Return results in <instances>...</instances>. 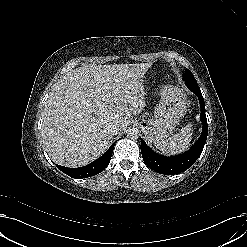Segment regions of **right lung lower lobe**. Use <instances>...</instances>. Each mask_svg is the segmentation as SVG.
<instances>
[{
	"label": "right lung lower lobe",
	"mask_w": 247,
	"mask_h": 247,
	"mask_svg": "<svg viewBox=\"0 0 247 247\" xmlns=\"http://www.w3.org/2000/svg\"><path fill=\"white\" fill-rule=\"evenodd\" d=\"M114 146L115 143L110 146L104 155L87 166L80 168H68L57 165V167L72 178H87L93 176L102 172L109 165Z\"/></svg>",
	"instance_id": "98d812e1"
}]
</instances>
